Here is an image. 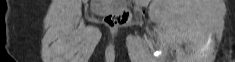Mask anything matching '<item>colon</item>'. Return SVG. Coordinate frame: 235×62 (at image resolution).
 <instances>
[{"label": "colon", "instance_id": "5ec220e1", "mask_svg": "<svg viewBox=\"0 0 235 62\" xmlns=\"http://www.w3.org/2000/svg\"><path fill=\"white\" fill-rule=\"evenodd\" d=\"M131 14L127 8H121L106 17V23L110 27H119L130 21Z\"/></svg>", "mask_w": 235, "mask_h": 62}]
</instances>
